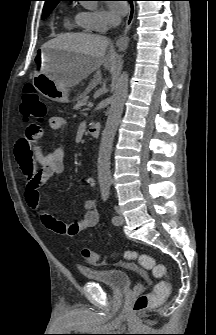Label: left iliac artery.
<instances>
[{"mask_svg": "<svg viewBox=\"0 0 216 335\" xmlns=\"http://www.w3.org/2000/svg\"><path fill=\"white\" fill-rule=\"evenodd\" d=\"M110 183H103L101 184V196L103 201H107L110 197ZM118 221V216H113L112 217V222L116 223Z\"/></svg>", "mask_w": 216, "mask_h": 335, "instance_id": "obj_1", "label": "left iliac artery"}]
</instances>
